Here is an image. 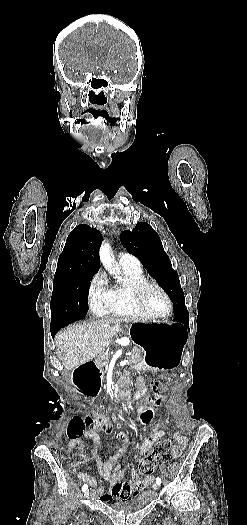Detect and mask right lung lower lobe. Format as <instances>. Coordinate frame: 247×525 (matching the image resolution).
Segmentation results:
<instances>
[{
	"label": "right lung lower lobe",
	"mask_w": 247,
	"mask_h": 525,
	"mask_svg": "<svg viewBox=\"0 0 247 525\" xmlns=\"http://www.w3.org/2000/svg\"><path fill=\"white\" fill-rule=\"evenodd\" d=\"M61 327H64V326L58 325V326L50 327L52 337H54V335L56 334V332H57Z\"/></svg>",
	"instance_id": "98d812e1"
}]
</instances>
